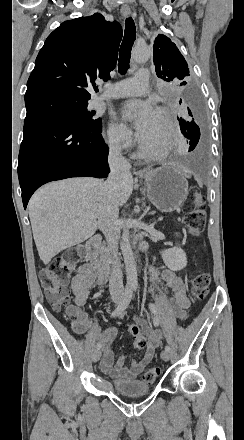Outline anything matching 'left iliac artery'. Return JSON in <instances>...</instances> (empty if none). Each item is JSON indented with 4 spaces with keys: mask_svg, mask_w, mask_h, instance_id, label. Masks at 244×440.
<instances>
[{
    "mask_svg": "<svg viewBox=\"0 0 244 440\" xmlns=\"http://www.w3.org/2000/svg\"><path fill=\"white\" fill-rule=\"evenodd\" d=\"M135 288H136V287H135ZM149 308H150L151 312H152L153 315H154V320H153L154 326H158L159 323H160V321H159V316H158V310H157V307H156L155 304L150 303V304H149ZM165 350L170 351V347H169L168 345H166V346H165Z\"/></svg>",
    "mask_w": 244,
    "mask_h": 440,
    "instance_id": "1",
    "label": "left iliac artery"
}]
</instances>
